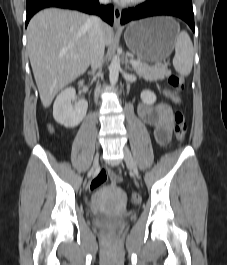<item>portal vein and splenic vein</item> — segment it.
Listing matches in <instances>:
<instances>
[{
  "instance_id": "portal-vein-and-splenic-vein-1",
  "label": "portal vein and splenic vein",
  "mask_w": 227,
  "mask_h": 265,
  "mask_svg": "<svg viewBox=\"0 0 227 265\" xmlns=\"http://www.w3.org/2000/svg\"><path fill=\"white\" fill-rule=\"evenodd\" d=\"M131 63H132V65H134V66H138V65H140V62H137V61H135V60H131ZM162 66H163L162 63H155V67H162Z\"/></svg>"
}]
</instances>
